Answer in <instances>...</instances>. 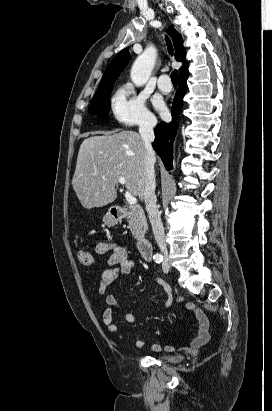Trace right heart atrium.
<instances>
[{
	"mask_svg": "<svg viewBox=\"0 0 272 411\" xmlns=\"http://www.w3.org/2000/svg\"><path fill=\"white\" fill-rule=\"evenodd\" d=\"M110 113L113 119L124 126L151 127L156 123L148 110L145 98L132 85L120 86L110 99Z\"/></svg>",
	"mask_w": 272,
	"mask_h": 411,
	"instance_id": "d8ad5b80",
	"label": "right heart atrium"
}]
</instances>
